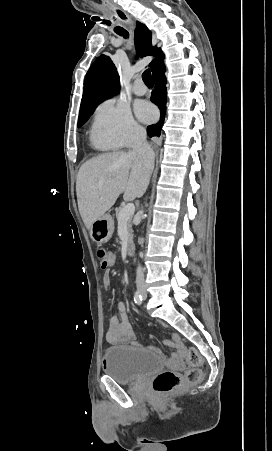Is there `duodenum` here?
Masks as SVG:
<instances>
[{"label":"duodenum","instance_id":"1","mask_svg":"<svg viewBox=\"0 0 272 451\" xmlns=\"http://www.w3.org/2000/svg\"><path fill=\"white\" fill-rule=\"evenodd\" d=\"M126 252H127V254L129 256L133 255V253H134V246H133V244L130 243V244L127 245Z\"/></svg>","mask_w":272,"mask_h":451}]
</instances>
